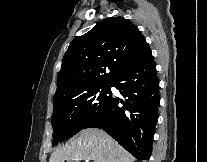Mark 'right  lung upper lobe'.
Returning <instances> with one entry per match:
<instances>
[{"label": "right lung upper lobe", "mask_w": 207, "mask_h": 162, "mask_svg": "<svg viewBox=\"0 0 207 162\" xmlns=\"http://www.w3.org/2000/svg\"><path fill=\"white\" fill-rule=\"evenodd\" d=\"M152 56L144 36L123 17L98 22L69 45L53 99L112 84L129 67Z\"/></svg>", "instance_id": "obj_1"}]
</instances>
